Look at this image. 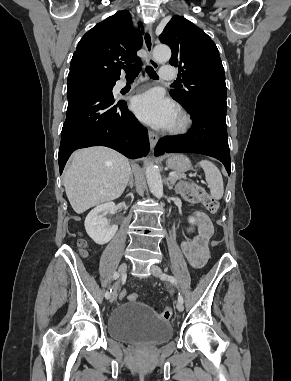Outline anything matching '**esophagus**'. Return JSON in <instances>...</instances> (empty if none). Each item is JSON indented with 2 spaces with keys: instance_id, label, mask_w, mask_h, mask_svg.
Masks as SVG:
<instances>
[{
  "instance_id": "1",
  "label": "esophagus",
  "mask_w": 291,
  "mask_h": 381,
  "mask_svg": "<svg viewBox=\"0 0 291 381\" xmlns=\"http://www.w3.org/2000/svg\"><path fill=\"white\" fill-rule=\"evenodd\" d=\"M143 43H144V47H145L146 53H147L148 64L150 66H152L153 68H158L159 65L155 61V59L153 58V55H152V51H153L152 25L146 26L145 33L143 36ZM148 136H149L150 147L154 148L157 141H158V135L156 133H154L153 131H149Z\"/></svg>"
}]
</instances>
